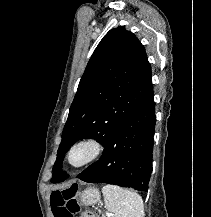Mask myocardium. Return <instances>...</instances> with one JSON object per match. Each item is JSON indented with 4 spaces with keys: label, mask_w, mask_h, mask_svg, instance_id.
I'll use <instances>...</instances> for the list:
<instances>
[{
    "label": "myocardium",
    "mask_w": 211,
    "mask_h": 217,
    "mask_svg": "<svg viewBox=\"0 0 211 217\" xmlns=\"http://www.w3.org/2000/svg\"><path fill=\"white\" fill-rule=\"evenodd\" d=\"M79 147H86L90 150L89 155L80 163L74 164L71 160L72 153ZM104 143L97 137L86 136L76 140L69 148L67 162L73 168H83L97 161L104 153Z\"/></svg>",
    "instance_id": "myocardium-1"
}]
</instances>
